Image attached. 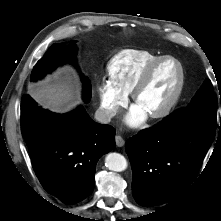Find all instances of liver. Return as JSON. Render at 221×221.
Listing matches in <instances>:
<instances>
[{
	"label": "liver",
	"instance_id": "liver-1",
	"mask_svg": "<svg viewBox=\"0 0 221 221\" xmlns=\"http://www.w3.org/2000/svg\"><path fill=\"white\" fill-rule=\"evenodd\" d=\"M28 92L38 104L57 113L66 112L79 102L78 90L69 74L31 85Z\"/></svg>",
	"mask_w": 221,
	"mask_h": 221
}]
</instances>
